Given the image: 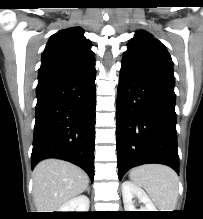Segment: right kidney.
Returning a JSON list of instances; mask_svg holds the SVG:
<instances>
[{"label": "right kidney", "mask_w": 203, "mask_h": 219, "mask_svg": "<svg viewBox=\"0 0 203 219\" xmlns=\"http://www.w3.org/2000/svg\"><path fill=\"white\" fill-rule=\"evenodd\" d=\"M89 207V198L85 195H80L62 205L58 212H88Z\"/></svg>", "instance_id": "1"}]
</instances>
